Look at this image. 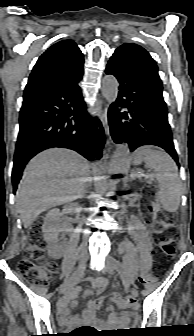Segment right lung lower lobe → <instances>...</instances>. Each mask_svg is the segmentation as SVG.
<instances>
[{
	"mask_svg": "<svg viewBox=\"0 0 194 336\" xmlns=\"http://www.w3.org/2000/svg\"><path fill=\"white\" fill-rule=\"evenodd\" d=\"M82 75L83 69L54 87L24 96L12 171L14 193L26 163L44 149L69 148L91 161L102 157L104 132H94L100 122L86 111L79 86Z\"/></svg>",
	"mask_w": 194,
	"mask_h": 336,
	"instance_id": "right-lung-lower-lobe-1",
	"label": "right lung lower lobe"
}]
</instances>
